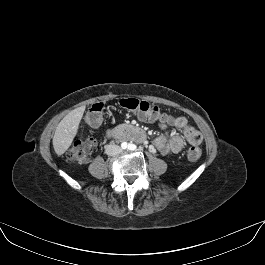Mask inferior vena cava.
Wrapping results in <instances>:
<instances>
[{"mask_svg": "<svg viewBox=\"0 0 265 265\" xmlns=\"http://www.w3.org/2000/svg\"><path fill=\"white\" fill-rule=\"evenodd\" d=\"M121 152V147L115 144H109L105 147V153L109 156H115L120 154Z\"/></svg>", "mask_w": 265, "mask_h": 265, "instance_id": "inferior-vena-cava-1", "label": "inferior vena cava"}]
</instances>
